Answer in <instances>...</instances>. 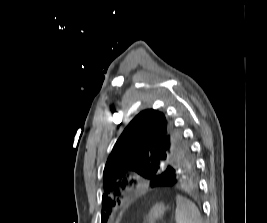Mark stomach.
<instances>
[{
  "label": "stomach",
  "instance_id": "0dacf381",
  "mask_svg": "<svg viewBox=\"0 0 267 223\" xmlns=\"http://www.w3.org/2000/svg\"><path fill=\"white\" fill-rule=\"evenodd\" d=\"M165 211H166V207L164 206V204L162 203L156 204L149 213V216H148L149 222L154 223L157 219L162 218Z\"/></svg>",
  "mask_w": 267,
  "mask_h": 223
}]
</instances>
